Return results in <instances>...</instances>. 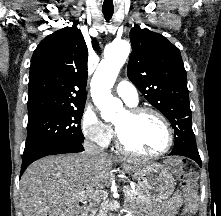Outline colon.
I'll return each instance as SVG.
<instances>
[{"label": "colon", "instance_id": "obj_1", "mask_svg": "<svg viewBox=\"0 0 221 216\" xmlns=\"http://www.w3.org/2000/svg\"><path fill=\"white\" fill-rule=\"evenodd\" d=\"M186 163L183 159H174L170 162V167L182 179L181 190L187 198H193L196 190V185L192 177H188L185 172Z\"/></svg>", "mask_w": 221, "mask_h": 216}]
</instances>
